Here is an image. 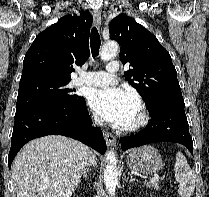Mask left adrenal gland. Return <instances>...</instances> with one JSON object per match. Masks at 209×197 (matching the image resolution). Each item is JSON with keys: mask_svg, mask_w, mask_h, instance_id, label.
<instances>
[{"mask_svg": "<svg viewBox=\"0 0 209 197\" xmlns=\"http://www.w3.org/2000/svg\"><path fill=\"white\" fill-rule=\"evenodd\" d=\"M129 176H130V182L135 181V179H133L132 173H129Z\"/></svg>", "mask_w": 209, "mask_h": 197, "instance_id": "left-adrenal-gland-1", "label": "left adrenal gland"}]
</instances>
